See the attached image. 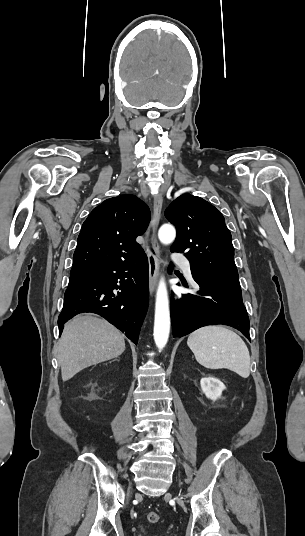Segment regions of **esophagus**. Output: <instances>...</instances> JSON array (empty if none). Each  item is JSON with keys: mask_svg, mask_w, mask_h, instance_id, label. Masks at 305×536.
I'll use <instances>...</instances> for the list:
<instances>
[{"mask_svg": "<svg viewBox=\"0 0 305 536\" xmlns=\"http://www.w3.org/2000/svg\"><path fill=\"white\" fill-rule=\"evenodd\" d=\"M162 204H163V196L161 193H158L157 195H155L154 203H153L152 231L154 235L151 238V246H152L153 251L150 248H148L147 250V258L149 262V290H150L151 295L155 291V288L157 285L158 271H159L160 247L156 238V230H157V226L160 220Z\"/></svg>", "mask_w": 305, "mask_h": 536, "instance_id": "34e87169", "label": "esophagus"}]
</instances>
